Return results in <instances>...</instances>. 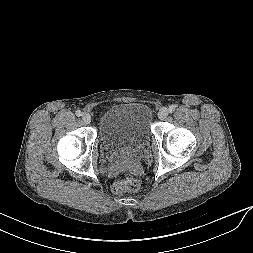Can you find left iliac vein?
I'll use <instances>...</instances> for the list:
<instances>
[{
  "mask_svg": "<svg viewBox=\"0 0 253 253\" xmlns=\"http://www.w3.org/2000/svg\"><path fill=\"white\" fill-rule=\"evenodd\" d=\"M168 113H169V111L167 108H165V107L161 108L158 112L159 119L164 120L168 116Z\"/></svg>",
  "mask_w": 253,
  "mask_h": 253,
  "instance_id": "left-iliac-vein-1",
  "label": "left iliac vein"
}]
</instances>
